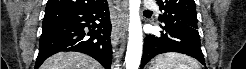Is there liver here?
<instances>
[{"label": "liver", "instance_id": "liver-1", "mask_svg": "<svg viewBox=\"0 0 246 69\" xmlns=\"http://www.w3.org/2000/svg\"><path fill=\"white\" fill-rule=\"evenodd\" d=\"M40 69H102V66L88 55L60 52L48 58Z\"/></svg>", "mask_w": 246, "mask_h": 69}]
</instances>
